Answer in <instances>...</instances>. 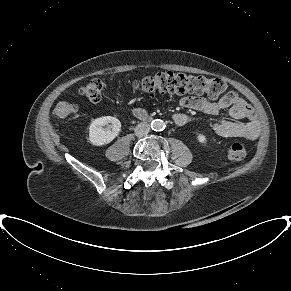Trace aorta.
Returning a JSON list of instances; mask_svg holds the SVG:
<instances>
[{
  "mask_svg": "<svg viewBox=\"0 0 291 291\" xmlns=\"http://www.w3.org/2000/svg\"><path fill=\"white\" fill-rule=\"evenodd\" d=\"M151 128L154 130V131H162L165 129V123L163 120L161 119H155L151 122L150 124Z\"/></svg>",
  "mask_w": 291,
  "mask_h": 291,
  "instance_id": "aorta-1",
  "label": "aorta"
}]
</instances>
